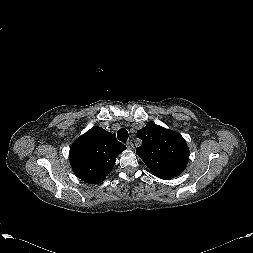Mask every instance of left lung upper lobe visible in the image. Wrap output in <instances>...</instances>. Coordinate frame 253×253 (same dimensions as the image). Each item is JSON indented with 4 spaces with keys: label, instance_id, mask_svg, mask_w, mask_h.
<instances>
[{
    "label": "left lung upper lobe",
    "instance_id": "obj_1",
    "mask_svg": "<svg viewBox=\"0 0 253 253\" xmlns=\"http://www.w3.org/2000/svg\"><path fill=\"white\" fill-rule=\"evenodd\" d=\"M142 145L136 153L155 176H178L185 169L189 149L184 138L177 132L148 122L137 132Z\"/></svg>",
    "mask_w": 253,
    "mask_h": 253
}]
</instances>
